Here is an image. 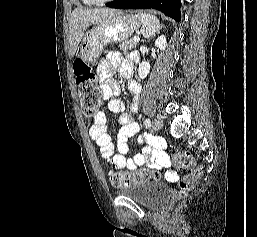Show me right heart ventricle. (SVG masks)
<instances>
[{
  "label": "right heart ventricle",
  "instance_id": "e07e8e85",
  "mask_svg": "<svg viewBox=\"0 0 257 237\" xmlns=\"http://www.w3.org/2000/svg\"><path fill=\"white\" fill-rule=\"evenodd\" d=\"M84 5L92 6L94 2L92 0H81Z\"/></svg>",
  "mask_w": 257,
  "mask_h": 237
}]
</instances>
